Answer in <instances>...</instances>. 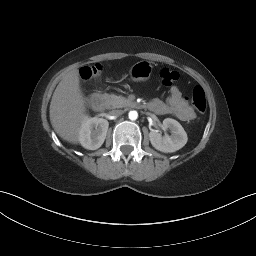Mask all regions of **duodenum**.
Instances as JSON below:
<instances>
[{"label": "duodenum", "instance_id": "obj_1", "mask_svg": "<svg viewBox=\"0 0 256 256\" xmlns=\"http://www.w3.org/2000/svg\"><path fill=\"white\" fill-rule=\"evenodd\" d=\"M106 103H107V101H106L105 96H103L101 94L92 93L89 96V104L96 111H100V110L104 109L105 106H106ZM136 106L137 107H144L145 105L142 104V103H137Z\"/></svg>", "mask_w": 256, "mask_h": 256}]
</instances>
